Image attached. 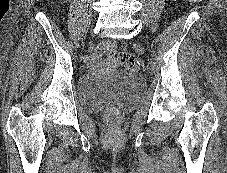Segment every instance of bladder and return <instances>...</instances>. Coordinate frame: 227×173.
<instances>
[{
	"label": "bladder",
	"mask_w": 227,
	"mask_h": 173,
	"mask_svg": "<svg viewBox=\"0 0 227 173\" xmlns=\"http://www.w3.org/2000/svg\"><path fill=\"white\" fill-rule=\"evenodd\" d=\"M144 91L142 77L126 70L84 74L77 84L79 103L90 112L108 105L133 108L141 102Z\"/></svg>",
	"instance_id": "1"
}]
</instances>
